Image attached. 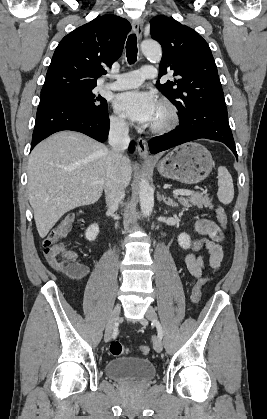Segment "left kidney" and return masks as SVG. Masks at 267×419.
Here are the masks:
<instances>
[{"instance_id": "left-kidney-1", "label": "left kidney", "mask_w": 267, "mask_h": 419, "mask_svg": "<svg viewBox=\"0 0 267 419\" xmlns=\"http://www.w3.org/2000/svg\"><path fill=\"white\" fill-rule=\"evenodd\" d=\"M190 236L186 233H181L178 236V243L179 246L182 247L183 249H188L190 247Z\"/></svg>"}]
</instances>
